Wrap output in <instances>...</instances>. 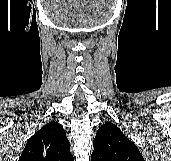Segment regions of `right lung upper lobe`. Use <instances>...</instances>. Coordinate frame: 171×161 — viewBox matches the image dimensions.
I'll return each instance as SVG.
<instances>
[{"instance_id": "obj_1", "label": "right lung upper lobe", "mask_w": 171, "mask_h": 161, "mask_svg": "<svg viewBox=\"0 0 171 161\" xmlns=\"http://www.w3.org/2000/svg\"><path fill=\"white\" fill-rule=\"evenodd\" d=\"M19 161H74L63 127L51 121L27 142Z\"/></svg>"}]
</instances>
